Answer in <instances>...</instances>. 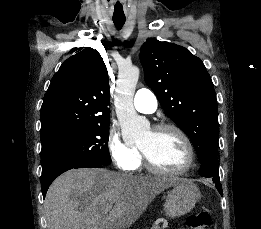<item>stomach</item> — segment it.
I'll return each instance as SVG.
<instances>
[{"label":"stomach","instance_id":"obj_1","mask_svg":"<svg viewBox=\"0 0 261 229\" xmlns=\"http://www.w3.org/2000/svg\"><path fill=\"white\" fill-rule=\"evenodd\" d=\"M172 191L168 193L164 205L167 217H181L187 215L195 207L201 195L198 187L188 179H176L171 181Z\"/></svg>","mask_w":261,"mask_h":229}]
</instances>
